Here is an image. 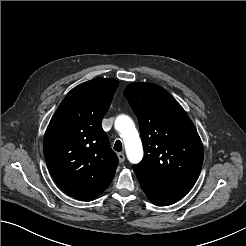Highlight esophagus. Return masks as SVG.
<instances>
[{
    "label": "esophagus",
    "mask_w": 246,
    "mask_h": 246,
    "mask_svg": "<svg viewBox=\"0 0 246 246\" xmlns=\"http://www.w3.org/2000/svg\"><path fill=\"white\" fill-rule=\"evenodd\" d=\"M117 156H118V159H119V161H120L121 163L125 161V155H124V153L119 152V153L117 154Z\"/></svg>",
    "instance_id": "34e87169"
}]
</instances>
